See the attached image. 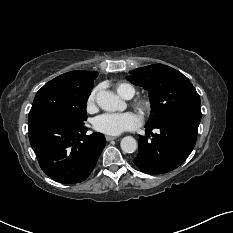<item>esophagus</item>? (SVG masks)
Wrapping results in <instances>:
<instances>
[{
  "label": "esophagus",
  "mask_w": 233,
  "mask_h": 233,
  "mask_svg": "<svg viewBox=\"0 0 233 233\" xmlns=\"http://www.w3.org/2000/svg\"><path fill=\"white\" fill-rule=\"evenodd\" d=\"M117 137H113V136H106V140L107 141H113V140H116Z\"/></svg>",
  "instance_id": "esophagus-1"
}]
</instances>
